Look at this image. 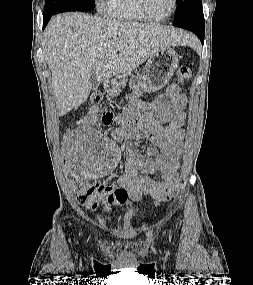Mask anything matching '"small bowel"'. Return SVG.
<instances>
[{
	"instance_id": "c3829d8e",
	"label": "small bowel",
	"mask_w": 253,
	"mask_h": 285,
	"mask_svg": "<svg viewBox=\"0 0 253 285\" xmlns=\"http://www.w3.org/2000/svg\"><path fill=\"white\" fill-rule=\"evenodd\" d=\"M140 91L131 96V104L120 117L115 109H100L99 122L104 126H118L113 132L116 142L125 150V168L118 178V186L126 188L131 202L140 204L144 197L165 202L170 200L179 180L180 148L184 139L183 108L187 97L176 84L166 93L147 103L139 97ZM126 120V124L121 121ZM133 123V125H131ZM148 140L152 146L145 153L137 150L135 143ZM161 174V179L153 176Z\"/></svg>"
}]
</instances>
